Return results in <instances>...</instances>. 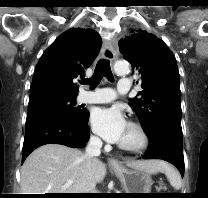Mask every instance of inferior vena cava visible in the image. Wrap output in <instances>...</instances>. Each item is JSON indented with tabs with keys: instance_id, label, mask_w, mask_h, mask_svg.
<instances>
[{
	"instance_id": "inferior-vena-cava-1",
	"label": "inferior vena cava",
	"mask_w": 208,
	"mask_h": 198,
	"mask_svg": "<svg viewBox=\"0 0 208 198\" xmlns=\"http://www.w3.org/2000/svg\"><path fill=\"white\" fill-rule=\"evenodd\" d=\"M102 147V141L100 138L92 136L89 139L88 145L85 151L86 166L90 170L91 163L100 155ZM96 183L89 180V185L87 188V193H94Z\"/></svg>"
}]
</instances>
